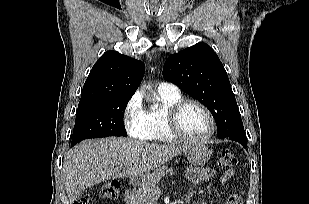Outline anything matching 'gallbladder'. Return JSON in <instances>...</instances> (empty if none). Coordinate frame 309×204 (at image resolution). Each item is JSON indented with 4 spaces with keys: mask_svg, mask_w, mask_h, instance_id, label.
<instances>
[{
    "mask_svg": "<svg viewBox=\"0 0 309 204\" xmlns=\"http://www.w3.org/2000/svg\"><path fill=\"white\" fill-rule=\"evenodd\" d=\"M82 192H83V190L78 188L77 194L75 195V197L78 198L81 195Z\"/></svg>",
    "mask_w": 309,
    "mask_h": 204,
    "instance_id": "gallbladder-1",
    "label": "gallbladder"
}]
</instances>
